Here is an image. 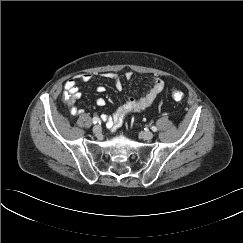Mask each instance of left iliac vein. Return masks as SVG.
I'll list each match as a JSON object with an SVG mask.
<instances>
[{"mask_svg":"<svg viewBox=\"0 0 243 243\" xmlns=\"http://www.w3.org/2000/svg\"><path fill=\"white\" fill-rule=\"evenodd\" d=\"M140 136L144 139V140H151L153 138V133L150 131H143L140 133Z\"/></svg>","mask_w":243,"mask_h":243,"instance_id":"obj_1","label":"left iliac vein"}]
</instances>
